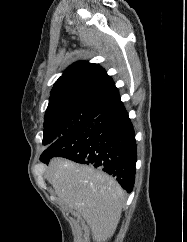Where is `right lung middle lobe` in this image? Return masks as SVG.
Returning a JSON list of instances; mask_svg holds the SVG:
<instances>
[{
  "instance_id": "right-lung-middle-lobe-1",
  "label": "right lung middle lobe",
  "mask_w": 187,
  "mask_h": 242,
  "mask_svg": "<svg viewBox=\"0 0 187 242\" xmlns=\"http://www.w3.org/2000/svg\"><path fill=\"white\" fill-rule=\"evenodd\" d=\"M103 110L102 107L87 104H71L47 110L44 117L43 145H51L66 133L95 119Z\"/></svg>"
}]
</instances>
